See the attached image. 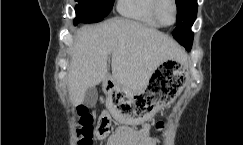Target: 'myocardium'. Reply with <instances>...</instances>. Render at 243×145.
Masks as SVG:
<instances>
[{
	"label": "myocardium",
	"mask_w": 243,
	"mask_h": 145,
	"mask_svg": "<svg viewBox=\"0 0 243 145\" xmlns=\"http://www.w3.org/2000/svg\"><path fill=\"white\" fill-rule=\"evenodd\" d=\"M162 2H163V0H153V5H152L153 15L156 18V20L162 26H165V27L172 26V25H174L176 23V21H177V15H178V7H177L176 0H170V2L172 3V6H173V11H174V18H173L172 23H170V24L165 23L162 20V18H161V15H160V6H161V3Z\"/></svg>",
	"instance_id": "1"
}]
</instances>
